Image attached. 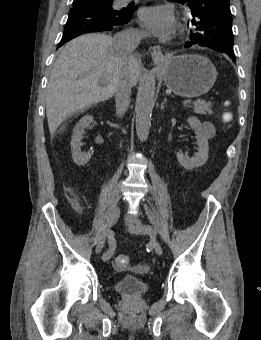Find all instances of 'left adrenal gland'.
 <instances>
[{
    "label": "left adrenal gland",
    "instance_id": "left-adrenal-gland-1",
    "mask_svg": "<svg viewBox=\"0 0 261 340\" xmlns=\"http://www.w3.org/2000/svg\"><path fill=\"white\" fill-rule=\"evenodd\" d=\"M166 101H167V99L165 98V99L163 100V102L161 103V109H162V110L165 109V103H166Z\"/></svg>",
    "mask_w": 261,
    "mask_h": 340
}]
</instances>
